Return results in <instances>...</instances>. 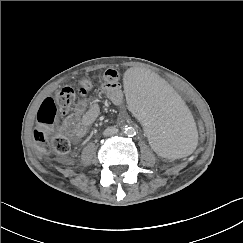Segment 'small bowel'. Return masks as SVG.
Returning a JSON list of instances; mask_svg holds the SVG:
<instances>
[{"label":"small bowel","instance_id":"small-bowel-1","mask_svg":"<svg viewBox=\"0 0 243 243\" xmlns=\"http://www.w3.org/2000/svg\"><path fill=\"white\" fill-rule=\"evenodd\" d=\"M119 79V72L112 68L107 69L102 75L103 92L114 105H121L124 99ZM99 113L98 103H93L86 109V103L79 102L75 111L64 119L65 132L74 140L83 138Z\"/></svg>","mask_w":243,"mask_h":243}]
</instances>
